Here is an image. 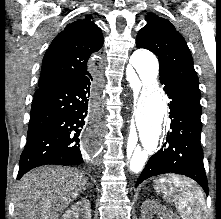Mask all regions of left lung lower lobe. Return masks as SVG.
Here are the masks:
<instances>
[{"instance_id": "left-lung-lower-lobe-1", "label": "left lung lower lobe", "mask_w": 221, "mask_h": 219, "mask_svg": "<svg viewBox=\"0 0 221 219\" xmlns=\"http://www.w3.org/2000/svg\"><path fill=\"white\" fill-rule=\"evenodd\" d=\"M169 96L171 131L164 146L152 155L137 180L136 186L149 177L176 173L188 176L201 185L208 195L200 142V95L171 81H163Z\"/></svg>"}]
</instances>
